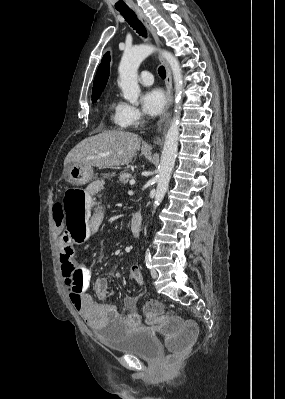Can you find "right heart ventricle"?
<instances>
[{
	"label": "right heart ventricle",
	"instance_id": "right-heart-ventricle-1",
	"mask_svg": "<svg viewBox=\"0 0 285 399\" xmlns=\"http://www.w3.org/2000/svg\"><path fill=\"white\" fill-rule=\"evenodd\" d=\"M109 110L111 112V119L114 124L120 129L126 128V125L123 123L122 118L123 104L116 101L115 99H112L109 102Z\"/></svg>",
	"mask_w": 285,
	"mask_h": 399
}]
</instances>
